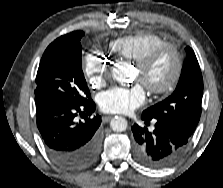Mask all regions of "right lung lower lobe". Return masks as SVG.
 <instances>
[{
    "label": "right lung lower lobe",
    "instance_id": "1",
    "mask_svg": "<svg viewBox=\"0 0 223 188\" xmlns=\"http://www.w3.org/2000/svg\"><path fill=\"white\" fill-rule=\"evenodd\" d=\"M37 127L52 159L71 171L91 166L100 153L98 128L101 116L75 121L77 113L95 111L92 100L76 104L66 100L35 97Z\"/></svg>",
    "mask_w": 223,
    "mask_h": 188
}]
</instances>
